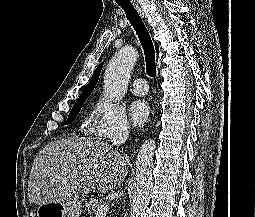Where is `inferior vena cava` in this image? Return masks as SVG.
<instances>
[{
  "label": "inferior vena cava",
  "mask_w": 255,
  "mask_h": 217,
  "mask_svg": "<svg viewBox=\"0 0 255 217\" xmlns=\"http://www.w3.org/2000/svg\"><path fill=\"white\" fill-rule=\"evenodd\" d=\"M129 136V130L127 127L120 128L114 136L111 138L112 145H122L124 144Z\"/></svg>",
  "instance_id": "inferior-vena-cava-1"
}]
</instances>
